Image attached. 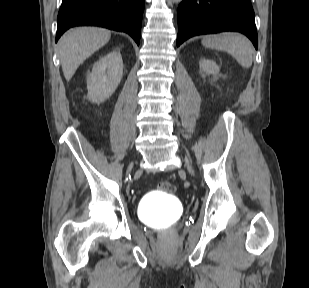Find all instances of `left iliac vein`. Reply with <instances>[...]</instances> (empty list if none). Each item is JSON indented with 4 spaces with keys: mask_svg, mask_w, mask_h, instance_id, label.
<instances>
[{
    "mask_svg": "<svg viewBox=\"0 0 309 288\" xmlns=\"http://www.w3.org/2000/svg\"><path fill=\"white\" fill-rule=\"evenodd\" d=\"M185 165L187 166L188 170H189L191 173H193L192 167H191V165L189 164L188 161H185Z\"/></svg>",
    "mask_w": 309,
    "mask_h": 288,
    "instance_id": "4c4485c4",
    "label": "left iliac vein"
}]
</instances>
